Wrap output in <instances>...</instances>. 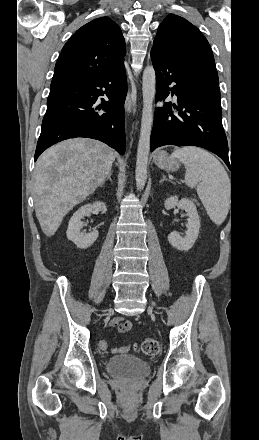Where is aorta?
Wrapping results in <instances>:
<instances>
[{"label":"aorta","instance_id":"obj_1","mask_svg":"<svg viewBox=\"0 0 259 440\" xmlns=\"http://www.w3.org/2000/svg\"><path fill=\"white\" fill-rule=\"evenodd\" d=\"M155 70L148 66L143 72V111L141 119V132L137 150L135 180L138 191H141L147 180V163L150 151V134L153 123V100L156 84Z\"/></svg>","mask_w":259,"mask_h":440}]
</instances>
